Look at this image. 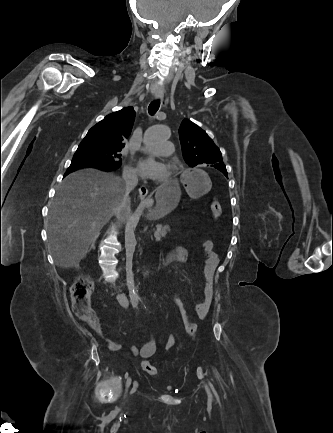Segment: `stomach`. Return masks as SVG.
<instances>
[{
    "instance_id": "stomach-1",
    "label": "stomach",
    "mask_w": 333,
    "mask_h": 433,
    "mask_svg": "<svg viewBox=\"0 0 333 433\" xmlns=\"http://www.w3.org/2000/svg\"><path fill=\"white\" fill-rule=\"evenodd\" d=\"M177 182L186 183L187 193L195 199L207 194L212 187L206 169H184L182 174L177 175ZM143 203L147 204L146 201Z\"/></svg>"
}]
</instances>
